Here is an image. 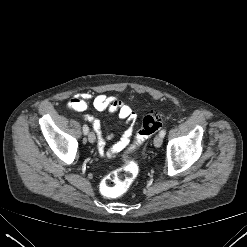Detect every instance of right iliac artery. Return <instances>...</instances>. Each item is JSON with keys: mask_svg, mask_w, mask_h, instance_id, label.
Wrapping results in <instances>:
<instances>
[{"mask_svg": "<svg viewBox=\"0 0 247 247\" xmlns=\"http://www.w3.org/2000/svg\"><path fill=\"white\" fill-rule=\"evenodd\" d=\"M88 131H89L88 126L86 124L83 125V133L86 135L88 133Z\"/></svg>", "mask_w": 247, "mask_h": 247, "instance_id": "obj_1", "label": "right iliac artery"}]
</instances>
